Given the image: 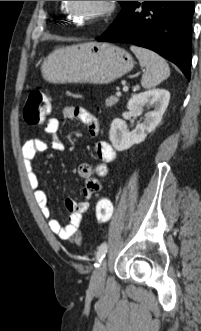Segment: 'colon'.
Returning a JSON list of instances; mask_svg holds the SVG:
<instances>
[{"label": "colon", "instance_id": "obj_1", "mask_svg": "<svg viewBox=\"0 0 201 331\" xmlns=\"http://www.w3.org/2000/svg\"><path fill=\"white\" fill-rule=\"evenodd\" d=\"M50 102L47 95L40 90L30 92L24 106L23 117L29 125H39L47 121ZM113 215V204L108 198H101L96 203L95 216L98 223H107ZM80 242V241H78ZM77 242V243H78Z\"/></svg>", "mask_w": 201, "mask_h": 331}]
</instances>
